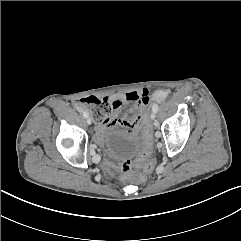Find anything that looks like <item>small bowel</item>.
<instances>
[{
  "label": "small bowel",
  "mask_w": 241,
  "mask_h": 241,
  "mask_svg": "<svg viewBox=\"0 0 241 241\" xmlns=\"http://www.w3.org/2000/svg\"><path fill=\"white\" fill-rule=\"evenodd\" d=\"M150 94V89L143 86L139 90L116 94L110 97V102L114 105L115 109H120L121 116L120 118L113 117L110 120L97 125L95 128V141L102 144L105 129L117 123L122 124L130 130H137L143 133V128L147 126L142 122L143 110L145 106L151 104ZM156 98L158 99L157 96ZM94 160L96 162L99 161L98 158H95ZM105 169L109 176L114 175V167L111 164L107 163Z\"/></svg>",
  "instance_id": "1"
}]
</instances>
